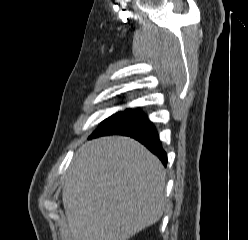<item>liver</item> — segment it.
I'll list each match as a JSON object with an SVG mask.
<instances>
[{"instance_id": "obj_1", "label": "liver", "mask_w": 248, "mask_h": 240, "mask_svg": "<svg viewBox=\"0 0 248 240\" xmlns=\"http://www.w3.org/2000/svg\"><path fill=\"white\" fill-rule=\"evenodd\" d=\"M166 171L129 137L89 141L76 152L62 192L72 240H128L161 218Z\"/></svg>"}]
</instances>
